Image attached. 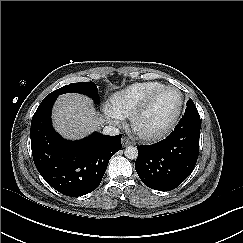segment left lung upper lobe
<instances>
[{"instance_id": "left-lung-upper-lobe-1", "label": "left lung upper lobe", "mask_w": 243, "mask_h": 243, "mask_svg": "<svg viewBox=\"0 0 243 243\" xmlns=\"http://www.w3.org/2000/svg\"><path fill=\"white\" fill-rule=\"evenodd\" d=\"M188 110H197L194 102L191 99H189V101H187L186 111H188Z\"/></svg>"}]
</instances>
